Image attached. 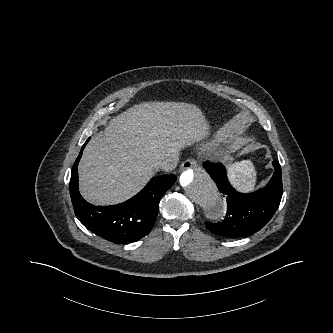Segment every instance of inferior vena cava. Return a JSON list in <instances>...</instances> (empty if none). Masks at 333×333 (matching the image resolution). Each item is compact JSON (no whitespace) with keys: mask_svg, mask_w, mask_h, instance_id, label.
Here are the masks:
<instances>
[{"mask_svg":"<svg viewBox=\"0 0 333 333\" xmlns=\"http://www.w3.org/2000/svg\"><path fill=\"white\" fill-rule=\"evenodd\" d=\"M173 161L174 160L171 159L159 161L155 164V168L158 170L169 172L175 168V162Z\"/></svg>","mask_w":333,"mask_h":333,"instance_id":"602c4592","label":"inferior vena cava"}]
</instances>
